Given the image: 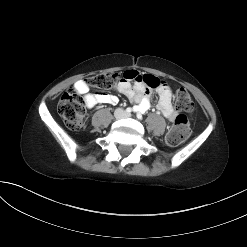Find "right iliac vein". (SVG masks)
I'll return each mask as SVG.
<instances>
[{
  "label": "right iliac vein",
  "mask_w": 247,
  "mask_h": 247,
  "mask_svg": "<svg viewBox=\"0 0 247 247\" xmlns=\"http://www.w3.org/2000/svg\"><path fill=\"white\" fill-rule=\"evenodd\" d=\"M121 116H122V111L121 110H119V111H117L116 113H115V117L118 119V118H121Z\"/></svg>",
  "instance_id": "right-iliac-vein-1"
}]
</instances>
